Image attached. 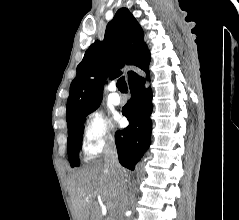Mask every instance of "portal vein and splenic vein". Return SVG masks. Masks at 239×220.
Returning a JSON list of instances; mask_svg holds the SVG:
<instances>
[{"instance_id":"portal-vein-and-splenic-vein-1","label":"portal vein and splenic vein","mask_w":239,"mask_h":220,"mask_svg":"<svg viewBox=\"0 0 239 220\" xmlns=\"http://www.w3.org/2000/svg\"><path fill=\"white\" fill-rule=\"evenodd\" d=\"M109 206L112 208L113 206H112V204H109Z\"/></svg>"}]
</instances>
